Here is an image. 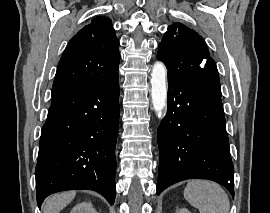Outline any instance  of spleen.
Listing matches in <instances>:
<instances>
[{"label": "spleen", "mask_w": 270, "mask_h": 213, "mask_svg": "<svg viewBox=\"0 0 270 213\" xmlns=\"http://www.w3.org/2000/svg\"><path fill=\"white\" fill-rule=\"evenodd\" d=\"M184 198L200 213H229L230 202L223 188L207 180H191L184 190Z\"/></svg>", "instance_id": "obj_1"}]
</instances>
